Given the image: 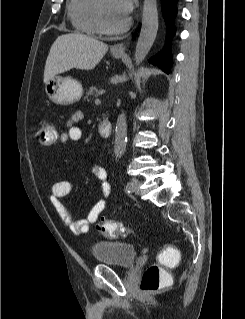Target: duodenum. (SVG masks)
<instances>
[{
    "mask_svg": "<svg viewBox=\"0 0 245 319\" xmlns=\"http://www.w3.org/2000/svg\"><path fill=\"white\" fill-rule=\"evenodd\" d=\"M99 133L103 138H108L112 134V124L107 119H102L99 123Z\"/></svg>",
    "mask_w": 245,
    "mask_h": 319,
    "instance_id": "duodenum-1",
    "label": "duodenum"
}]
</instances>
